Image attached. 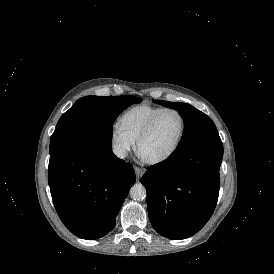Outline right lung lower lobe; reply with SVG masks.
Instances as JSON below:
<instances>
[{"label": "right lung lower lobe", "instance_id": "right-lung-lower-lobe-1", "mask_svg": "<svg viewBox=\"0 0 274 274\" xmlns=\"http://www.w3.org/2000/svg\"><path fill=\"white\" fill-rule=\"evenodd\" d=\"M135 181L133 166L113 154L111 136L94 135L50 155L48 182L55 209L83 239H98L113 229Z\"/></svg>", "mask_w": 274, "mask_h": 274}]
</instances>
